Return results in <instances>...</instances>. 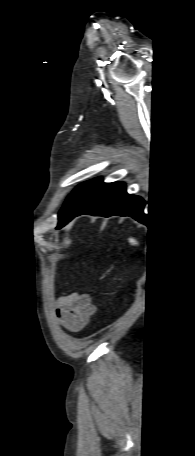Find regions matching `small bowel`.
<instances>
[{
    "instance_id": "obj_1",
    "label": "small bowel",
    "mask_w": 195,
    "mask_h": 456,
    "mask_svg": "<svg viewBox=\"0 0 195 456\" xmlns=\"http://www.w3.org/2000/svg\"><path fill=\"white\" fill-rule=\"evenodd\" d=\"M95 312L88 294L75 292L57 299L55 313L61 325L70 332L83 329Z\"/></svg>"
}]
</instances>
